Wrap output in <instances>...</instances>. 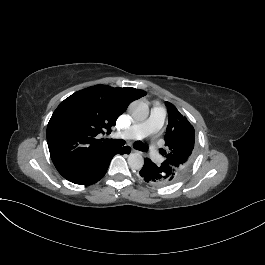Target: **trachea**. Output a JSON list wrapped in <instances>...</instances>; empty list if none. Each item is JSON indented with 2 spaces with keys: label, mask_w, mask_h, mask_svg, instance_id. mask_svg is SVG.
Instances as JSON below:
<instances>
[{
  "label": "trachea",
  "mask_w": 265,
  "mask_h": 265,
  "mask_svg": "<svg viewBox=\"0 0 265 265\" xmlns=\"http://www.w3.org/2000/svg\"><path fill=\"white\" fill-rule=\"evenodd\" d=\"M105 142L114 147H121L124 145V141L121 139H106ZM134 148L141 151L148 150V146L140 142H136Z\"/></svg>",
  "instance_id": "trachea-1"
}]
</instances>
